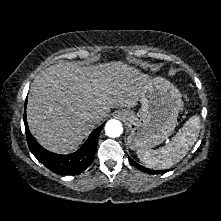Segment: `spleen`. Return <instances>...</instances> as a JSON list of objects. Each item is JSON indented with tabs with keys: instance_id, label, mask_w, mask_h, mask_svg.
<instances>
[{
	"instance_id": "3e777b00",
	"label": "spleen",
	"mask_w": 221,
	"mask_h": 221,
	"mask_svg": "<svg viewBox=\"0 0 221 221\" xmlns=\"http://www.w3.org/2000/svg\"><path fill=\"white\" fill-rule=\"evenodd\" d=\"M200 117L192 116L172 140L158 150H140L139 160L148 168L167 169L183 159L198 138Z\"/></svg>"
}]
</instances>
